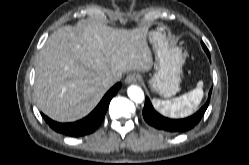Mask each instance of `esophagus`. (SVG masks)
<instances>
[{
  "label": "esophagus",
  "mask_w": 249,
  "mask_h": 165,
  "mask_svg": "<svg viewBox=\"0 0 249 165\" xmlns=\"http://www.w3.org/2000/svg\"><path fill=\"white\" fill-rule=\"evenodd\" d=\"M137 81H138V77H137V75L134 74V73L129 74V75L126 77V79H125V82H126L127 84H133V83H136Z\"/></svg>",
  "instance_id": "34e87169"
}]
</instances>
